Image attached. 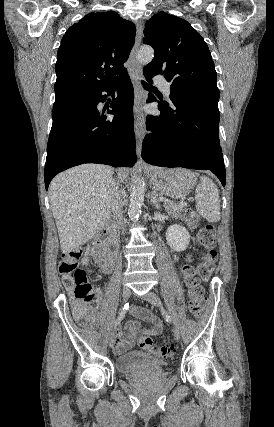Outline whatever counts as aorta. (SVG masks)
Returning <instances> with one entry per match:
<instances>
[{
	"instance_id": "1",
	"label": "aorta",
	"mask_w": 274,
	"mask_h": 427,
	"mask_svg": "<svg viewBox=\"0 0 274 427\" xmlns=\"http://www.w3.org/2000/svg\"><path fill=\"white\" fill-rule=\"evenodd\" d=\"M154 57V50L150 46H142L137 54V60L141 64H148ZM145 183L144 180L138 176L136 177L131 186V199L128 209L129 217L132 220L138 219L141 214V206L145 196Z\"/></svg>"
}]
</instances>
